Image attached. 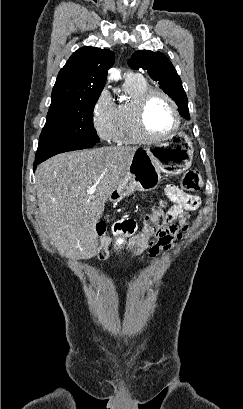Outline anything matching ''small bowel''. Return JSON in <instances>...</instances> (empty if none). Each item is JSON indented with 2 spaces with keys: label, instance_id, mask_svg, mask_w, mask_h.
<instances>
[{
  "label": "small bowel",
  "instance_id": "c3829d8e",
  "mask_svg": "<svg viewBox=\"0 0 243 409\" xmlns=\"http://www.w3.org/2000/svg\"><path fill=\"white\" fill-rule=\"evenodd\" d=\"M165 193L174 205L167 211L162 221L167 233L162 237L155 238L149 245L146 244L145 246L152 261L171 249L174 241L182 237V233L188 227V212L195 210L199 205L197 196L186 194L175 185H168Z\"/></svg>",
  "mask_w": 243,
  "mask_h": 409
}]
</instances>
